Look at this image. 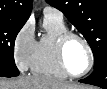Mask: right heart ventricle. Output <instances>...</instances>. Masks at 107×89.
I'll return each instance as SVG.
<instances>
[{
	"mask_svg": "<svg viewBox=\"0 0 107 89\" xmlns=\"http://www.w3.org/2000/svg\"><path fill=\"white\" fill-rule=\"evenodd\" d=\"M45 33L37 41L31 70L36 75L65 79L67 75L61 69L56 56V41L68 28L63 21L53 16L44 17Z\"/></svg>",
	"mask_w": 107,
	"mask_h": 89,
	"instance_id": "right-heart-ventricle-1",
	"label": "right heart ventricle"
}]
</instances>
